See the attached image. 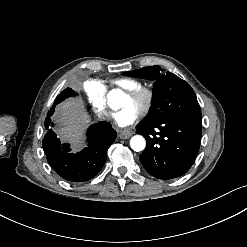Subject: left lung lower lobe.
Instances as JSON below:
<instances>
[{
  "label": "left lung lower lobe",
  "instance_id": "left-lung-lower-lobe-1",
  "mask_svg": "<svg viewBox=\"0 0 247 247\" xmlns=\"http://www.w3.org/2000/svg\"><path fill=\"white\" fill-rule=\"evenodd\" d=\"M136 133L147 141L139 157L145 170L156 178L172 179L192 166L200 147L202 124L187 117H171L152 125L139 123Z\"/></svg>",
  "mask_w": 247,
  "mask_h": 247
}]
</instances>
